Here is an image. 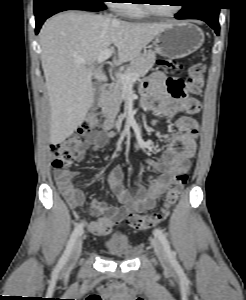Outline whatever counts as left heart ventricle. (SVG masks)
Instances as JSON below:
<instances>
[{"mask_svg":"<svg viewBox=\"0 0 246 300\" xmlns=\"http://www.w3.org/2000/svg\"><path fill=\"white\" fill-rule=\"evenodd\" d=\"M156 2H158L159 4H152L154 9L159 12H162V13H169L176 7L174 5L175 1L157 0ZM163 4H165V5H163Z\"/></svg>","mask_w":246,"mask_h":300,"instance_id":"left-heart-ventricle-1","label":"left heart ventricle"}]
</instances>
